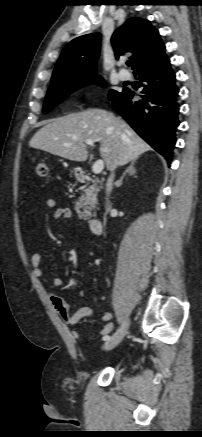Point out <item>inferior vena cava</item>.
Returning <instances> with one entry per match:
<instances>
[{
	"instance_id": "obj_1",
	"label": "inferior vena cava",
	"mask_w": 202,
	"mask_h": 437,
	"mask_svg": "<svg viewBox=\"0 0 202 437\" xmlns=\"http://www.w3.org/2000/svg\"><path fill=\"white\" fill-rule=\"evenodd\" d=\"M113 180H114V172L111 173V175L109 176V178L107 180V183H106V193H107V195H109L111 190H112ZM109 209H110V207L107 204V210H109Z\"/></svg>"
}]
</instances>
